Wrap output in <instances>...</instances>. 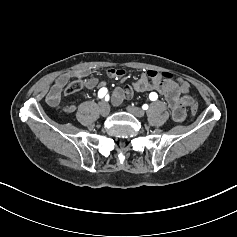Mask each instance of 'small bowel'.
<instances>
[{
    "label": "small bowel",
    "mask_w": 237,
    "mask_h": 237,
    "mask_svg": "<svg viewBox=\"0 0 237 237\" xmlns=\"http://www.w3.org/2000/svg\"><path fill=\"white\" fill-rule=\"evenodd\" d=\"M89 74L90 70L88 68H79L57 77L47 92V103L54 107L60 106L65 113L74 112L76 109L74 104L61 102L62 89L71 79L85 78L84 85L87 89L106 86L105 80H100L96 77H88ZM124 75L125 71L120 68H110L107 70V77L110 79H119ZM133 88L136 91H157L163 95L171 110L172 117L176 122H182L185 119L186 107L193 102V98L188 95V82L163 78L161 73L155 70L144 72L133 84ZM131 92V89L117 87L112 94L113 103L115 105L120 104L123 99L130 96Z\"/></svg>",
    "instance_id": "c3829d8e"
}]
</instances>
